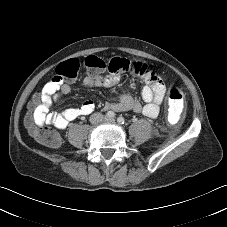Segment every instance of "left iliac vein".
I'll return each mask as SVG.
<instances>
[{"label": "left iliac vein", "instance_id": "4c4485c4", "mask_svg": "<svg viewBox=\"0 0 227 227\" xmlns=\"http://www.w3.org/2000/svg\"><path fill=\"white\" fill-rule=\"evenodd\" d=\"M105 121L108 123H115V119L107 118V119H105Z\"/></svg>", "mask_w": 227, "mask_h": 227}]
</instances>
